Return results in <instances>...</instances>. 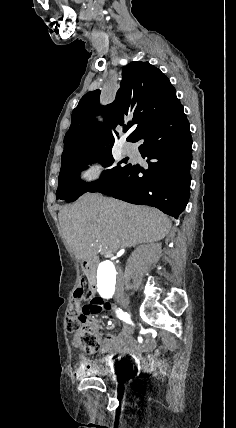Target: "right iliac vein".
Wrapping results in <instances>:
<instances>
[{"label": "right iliac vein", "mask_w": 236, "mask_h": 428, "mask_svg": "<svg viewBox=\"0 0 236 428\" xmlns=\"http://www.w3.org/2000/svg\"><path fill=\"white\" fill-rule=\"evenodd\" d=\"M116 299L119 301V304H120V305H125V304L127 303V297H126V295H125V294H118V295H117V297H116ZM128 332H129V333H132V332H133V329H132V328H129V329H128Z\"/></svg>", "instance_id": "63e3f726"}]
</instances>
